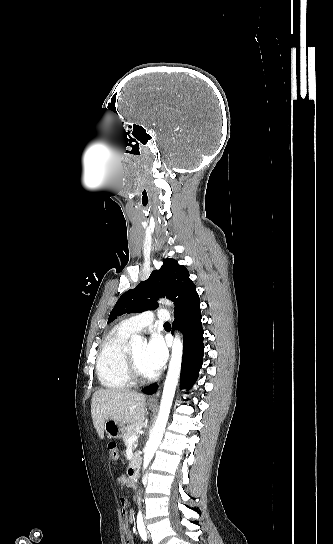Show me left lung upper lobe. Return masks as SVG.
<instances>
[{"instance_id": "obj_1", "label": "left lung upper lobe", "mask_w": 333, "mask_h": 544, "mask_svg": "<svg viewBox=\"0 0 333 544\" xmlns=\"http://www.w3.org/2000/svg\"><path fill=\"white\" fill-rule=\"evenodd\" d=\"M165 296L176 305L175 313L181 306L200 301L187 268L171 258L163 260L159 270H154L146 281H141L137 287L125 292L118 299L108 323L125 313L155 310L158 307V298Z\"/></svg>"}]
</instances>
